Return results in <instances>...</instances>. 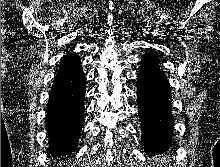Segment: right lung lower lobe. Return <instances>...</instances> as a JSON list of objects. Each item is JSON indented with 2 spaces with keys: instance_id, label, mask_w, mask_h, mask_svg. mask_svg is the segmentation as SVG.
Wrapping results in <instances>:
<instances>
[{
  "instance_id": "98d812e1",
  "label": "right lung lower lobe",
  "mask_w": 220,
  "mask_h": 167,
  "mask_svg": "<svg viewBox=\"0 0 220 167\" xmlns=\"http://www.w3.org/2000/svg\"><path fill=\"white\" fill-rule=\"evenodd\" d=\"M80 63L59 68L50 92L46 127L49 154L70 155L78 144L84 120L85 74Z\"/></svg>"
}]
</instances>
